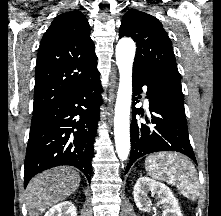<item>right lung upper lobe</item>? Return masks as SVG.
I'll list each match as a JSON object with an SVG mask.
<instances>
[{
  "mask_svg": "<svg viewBox=\"0 0 221 216\" xmlns=\"http://www.w3.org/2000/svg\"><path fill=\"white\" fill-rule=\"evenodd\" d=\"M88 20L79 11L56 17L37 55L33 115L99 76Z\"/></svg>",
  "mask_w": 221,
  "mask_h": 216,
  "instance_id": "obj_1",
  "label": "right lung upper lobe"
}]
</instances>
